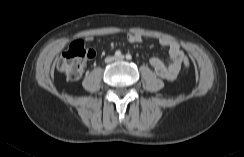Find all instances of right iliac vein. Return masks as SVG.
Here are the masks:
<instances>
[{"label":"right iliac vein","mask_w":244,"mask_h":157,"mask_svg":"<svg viewBox=\"0 0 244 157\" xmlns=\"http://www.w3.org/2000/svg\"><path fill=\"white\" fill-rule=\"evenodd\" d=\"M114 60V58L112 56H109L106 58V62L109 63V62H112Z\"/></svg>","instance_id":"63e3f726"}]
</instances>
